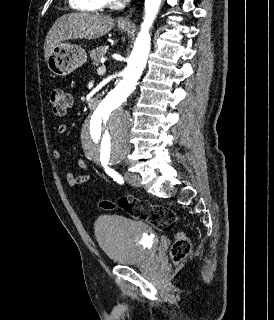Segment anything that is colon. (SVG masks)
Wrapping results in <instances>:
<instances>
[{"instance_id": "1", "label": "colon", "mask_w": 274, "mask_h": 320, "mask_svg": "<svg viewBox=\"0 0 274 320\" xmlns=\"http://www.w3.org/2000/svg\"><path fill=\"white\" fill-rule=\"evenodd\" d=\"M48 99L55 116L65 115L72 104L69 93L62 87L51 88ZM112 203L111 200H100L98 206L104 210L115 211L121 205L130 216L147 220L153 227L162 232L169 231L176 223V215L173 210L144 199L124 197L118 201V206L115 207ZM190 250L191 241L185 231L181 229L176 234L171 249V258L176 264H179L188 256Z\"/></svg>"}]
</instances>
